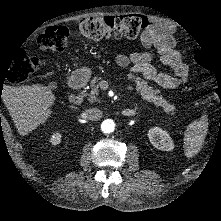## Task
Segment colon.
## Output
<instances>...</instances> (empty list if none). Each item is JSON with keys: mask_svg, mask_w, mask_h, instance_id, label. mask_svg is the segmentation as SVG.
Returning <instances> with one entry per match:
<instances>
[{"mask_svg": "<svg viewBox=\"0 0 221 221\" xmlns=\"http://www.w3.org/2000/svg\"><path fill=\"white\" fill-rule=\"evenodd\" d=\"M78 26L83 35L94 40L123 35L139 37L155 28L149 19L141 15L90 17L81 20ZM72 43L73 37L66 27L47 29L40 36L39 44L49 50V55L18 56L10 66L9 81L20 84L34 76H47L51 54L70 50ZM191 61L202 71L211 69L209 59L203 54H193Z\"/></svg>", "mask_w": 221, "mask_h": 221, "instance_id": "obj_1", "label": "colon"}]
</instances>
